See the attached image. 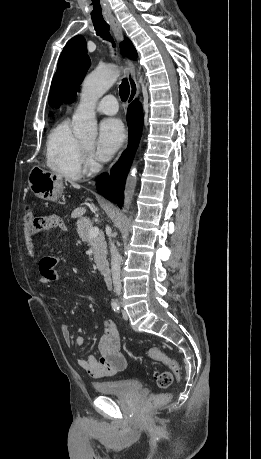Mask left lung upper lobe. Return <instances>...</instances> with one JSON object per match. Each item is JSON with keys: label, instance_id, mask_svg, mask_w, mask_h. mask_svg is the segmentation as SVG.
<instances>
[{"label": "left lung upper lobe", "instance_id": "5c2ea615", "mask_svg": "<svg viewBox=\"0 0 261 459\" xmlns=\"http://www.w3.org/2000/svg\"><path fill=\"white\" fill-rule=\"evenodd\" d=\"M120 47L124 56L137 57V52L129 40H124ZM89 66L90 58L87 55L85 40L81 36H75L67 42L59 57L49 94L50 106L58 108L65 101H74L78 85L81 84Z\"/></svg>", "mask_w": 261, "mask_h": 459}]
</instances>
